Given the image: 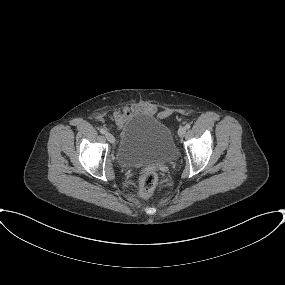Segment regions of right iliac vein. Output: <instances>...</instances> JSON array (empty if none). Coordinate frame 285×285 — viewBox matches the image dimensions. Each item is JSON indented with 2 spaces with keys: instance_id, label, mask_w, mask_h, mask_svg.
<instances>
[{
  "instance_id": "obj_1",
  "label": "right iliac vein",
  "mask_w": 285,
  "mask_h": 285,
  "mask_svg": "<svg viewBox=\"0 0 285 285\" xmlns=\"http://www.w3.org/2000/svg\"><path fill=\"white\" fill-rule=\"evenodd\" d=\"M106 138L110 143H114L115 138L111 133H106Z\"/></svg>"
}]
</instances>
